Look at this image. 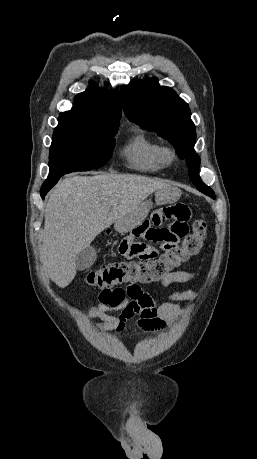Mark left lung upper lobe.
Masks as SVG:
<instances>
[{"instance_id": "1", "label": "left lung upper lobe", "mask_w": 257, "mask_h": 459, "mask_svg": "<svg viewBox=\"0 0 257 459\" xmlns=\"http://www.w3.org/2000/svg\"><path fill=\"white\" fill-rule=\"evenodd\" d=\"M126 117L168 140L189 167L190 180L202 193L215 199L213 190L199 176L200 158L195 154V125L190 109L171 88L160 86L156 78L138 81L120 90Z\"/></svg>"}]
</instances>
